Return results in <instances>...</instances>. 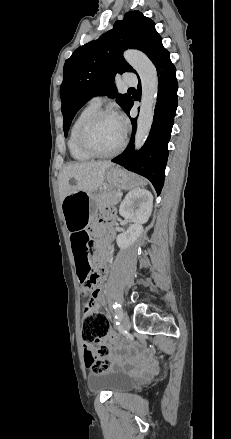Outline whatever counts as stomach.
Listing matches in <instances>:
<instances>
[{
	"label": "stomach",
	"instance_id": "1",
	"mask_svg": "<svg viewBox=\"0 0 231 439\" xmlns=\"http://www.w3.org/2000/svg\"><path fill=\"white\" fill-rule=\"evenodd\" d=\"M105 181L111 188L131 189L144 184L139 176L126 172L119 167H110L105 172ZM101 190L74 191L62 201V213L69 230L84 228L90 217L96 212V202Z\"/></svg>",
	"mask_w": 231,
	"mask_h": 439
}]
</instances>
